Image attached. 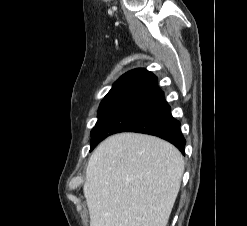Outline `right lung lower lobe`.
<instances>
[{
	"label": "right lung lower lobe",
	"instance_id": "1",
	"mask_svg": "<svg viewBox=\"0 0 247 226\" xmlns=\"http://www.w3.org/2000/svg\"><path fill=\"white\" fill-rule=\"evenodd\" d=\"M125 131L158 136L184 153L180 122L172 117L157 77L146 69H134L119 78L92 130L90 150L107 136Z\"/></svg>",
	"mask_w": 247,
	"mask_h": 226
}]
</instances>
